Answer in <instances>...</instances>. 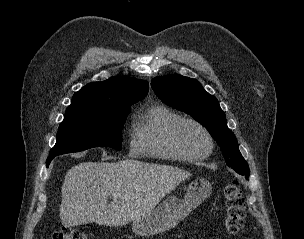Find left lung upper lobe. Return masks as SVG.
Segmentation results:
<instances>
[{"instance_id": "1", "label": "left lung upper lobe", "mask_w": 304, "mask_h": 239, "mask_svg": "<svg viewBox=\"0 0 304 239\" xmlns=\"http://www.w3.org/2000/svg\"><path fill=\"white\" fill-rule=\"evenodd\" d=\"M151 86L164 103L184 111L206 127L220 145L227 165L249 177V166L239 151L235 135L227 127L225 113L216 97L207 93L197 80L178 74L156 77Z\"/></svg>"}]
</instances>
